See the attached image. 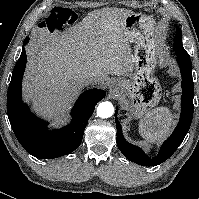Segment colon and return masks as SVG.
<instances>
[{
	"mask_svg": "<svg viewBox=\"0 0 199 199\" xmlns=\"http://www.w3.org/2000/svg\"><path fill=\"white\" fill-rule=\"evenodd\" d=\"M75 20L74 13L67 8H59L52 11L42 22L43 28L52 32L63 25L71 24Z\"/></svg>",
	"mask_w": 199,
	"mask_h": 199,
	"instance_id": "colon-1",
	"label": "colon"
}]
</instances>
